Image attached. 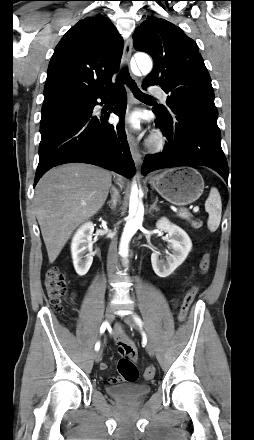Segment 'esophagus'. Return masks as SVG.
I'll return each mask as SVG.
<instances>
[{
    "instance_id": "obj_1",
    "label": "esophagus",
    "mask_w": 254,
    "mask_h": 440,
    "mask_svg": "<svg viewBox=\"0 0 254 440\" xmlns=\"http://www.w3.org/2000/svg\"><path fill=\"white\" fill-rule=\"evenodd\" d=\"M131 54H132V39L128 38V39H126V41L124 43V48H123V55H122L123 66L129 65ZM132 107H133V102H132V100H130L129 104H128L127 116L129 115ZM127 140H128L131 155H132V158H133L135 164L140 165V163L142 161V156L139 152L138 144L136 142L135 136L128 129H127Z\"/></svg>"
}]
</instances>
